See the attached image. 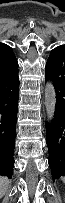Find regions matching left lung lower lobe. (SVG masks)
<instances>
[{"instance_id":"left-lung-lower-lobe-1","label":"left lung lower lobe","mask_w":65,"mask_h":203,"mask_svg":"<svg viewBox=\"0 0 65 203\" xmlns=\"http://www.w3.org/2000/svg\"><path fill=\"white\" fill-rule=\"evenodd\" d=\"M45 78L56 91L54 119L47 128L46 143L53 180L65 176V45L54 48L46 63Z\"/></svg>"}]
</instances>
